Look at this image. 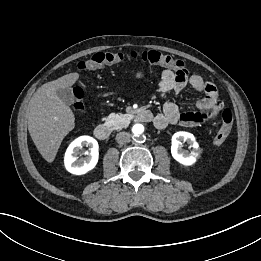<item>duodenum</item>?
<instances>
[{"label":"duodenum","instance_id":"1","mask_svg":"<svg viewBox=\"0 0 261 261\" xmlns=\"http://www.w3.org/2000/svg\"><path fill=\"white\" fill-rule=\"evenodd\" d=\"M134 119L137 122H150L153 120V115L149 110L141 109L135 113ZM110 133V127L105 123H99L94 128V135L100 140L107 139Z\"/></svg>","mask_w":261,"mask_h":261}]
</instances>
